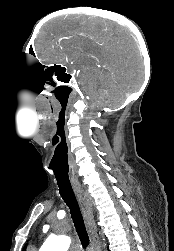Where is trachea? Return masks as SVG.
<instances>
[{"instance_id":"trachea-1","label":"trachea","mask_w":174,"mask_h":251,"mask_svg":"<svg viewBox=\"0 0 174 251\" xmlns=\"http://www.w3.org/2000/svg\"><path fill=\"white\" fill-rule=\"evenodd\" d=\"M57 184L61 197L70 209L71 217L73 219V223L81 241V244L83 248L86 249V247L89 245V238L86 232L81 210L74 191L72 189V186L70 183L66 182H57Z\"/></svg>"}]
</instances>
